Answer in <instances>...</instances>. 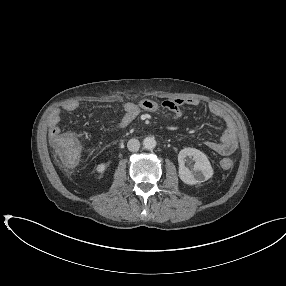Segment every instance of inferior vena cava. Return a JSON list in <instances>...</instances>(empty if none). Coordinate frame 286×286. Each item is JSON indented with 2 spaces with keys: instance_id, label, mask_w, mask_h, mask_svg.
<instances>
[{
  "instance_id": "602c4592",
  "label": "inferior vena cava",
  "mask_w": 286,
  "mask_h": 286,
  "mask_svg": "<svg viewBox=\"0 0 286 286\" xmlns=\"http://www.w3.org/2000/svg\"><path fill=\"white\" fill-rule=\"evenodd\" d=\"M127 148L131 152H136L140 148V142L137 139H130L127 143Z\"/></svg>"
}]
</instances>
